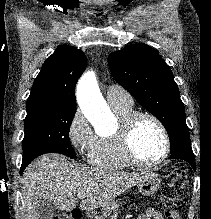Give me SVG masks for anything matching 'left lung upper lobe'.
<instances>
[{"mask_svg": "<svg viewBox=\"0 0 211 219\" xmlns=\"http://www.w3.org/2000/svg\"><path fill=\"white\" fill-rule=\"evenodd\" d=\"M114 79L165 127L170 152L191 144L184 105L170 67L146 44H134L108 56Z\"/></svg>", "mask_w": 211, "mask_h": 219, "instance_id": "left-lung-upper-lobe-1", "label": "left lung upper lobe"}]
</instances>
